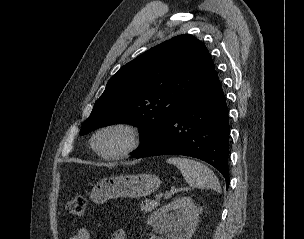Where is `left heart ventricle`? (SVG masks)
<instances>
[{
  "instance_id": "1",
  "label": "left heart ventricle",
  "mask_w": 304,
  "mask_h": 239,
  "mask_svg": "<svg viewBox=\"0 0 304 239\" xmlns=\"http://www.w3.org/2000/svg\"><path fill=\"white\" fill-rule=\"evenodd\" d=\"M126 143L125 135L120 131H108L98 139V146L104 152H114L122 148Z\"/></svg>"
}]
</instances>
